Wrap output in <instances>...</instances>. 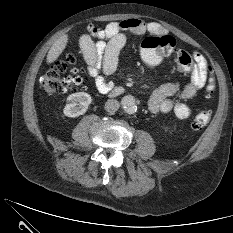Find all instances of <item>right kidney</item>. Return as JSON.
Masks as SVG:
<instances>
[{
    "mask_svg": "<svg viewBox=\"0 0 233 233\" xmlns=\"http://www.w3.org/2000/svg\"><path fill=\"white\" fill-rule=\"evenodd\" d=\"M92 99L88 93L85 92H77L69 95L67 97V103L64 107L63 113L67 117H78L83 115L88 106L91 104Z\"/></svg>",
    "mask_w": 233,
    "mask_h": 233,
    "instance_id": "right-kidney-1",
    "label": "right kidney"
}]
</instances>
